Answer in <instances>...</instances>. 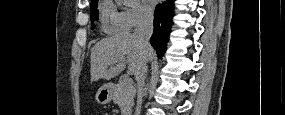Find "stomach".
<instances>
[{
	"mask_svg": "<svg viewBox=\"0 0 285 115\" xmlns=\"http://www.w3.org/2000/svg\"><path fill=\"white\" fill-rule=\"evenodd\" d=\"M113 89V86L110 84L103 85L96 93V101L99 104H108L112 100Z\"/></svg>",
	"mask_w": 285,
	"mask_h": 115,
	"instance_id": "1",
	"label": "stomach"
}]
</instances>
